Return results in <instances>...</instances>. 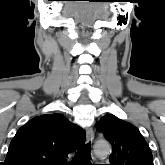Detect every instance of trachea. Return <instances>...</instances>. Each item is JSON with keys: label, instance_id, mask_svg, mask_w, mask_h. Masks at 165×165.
Segmentation results:
<instances>
[{"label": "trachea", "instance_id": "trachea-1", "mask_svg": "<svg viewBox=\"0 0 165 165\" xmlns=\"http://www.w3.org/2000/svg\"><path fill=\"white\" fill-rule=\"evenodd\" d=\"M91 144L80 147L69 165H90Z\"/></svg>", "mask_w": 165, "mask_h": 165}]
</instances>
